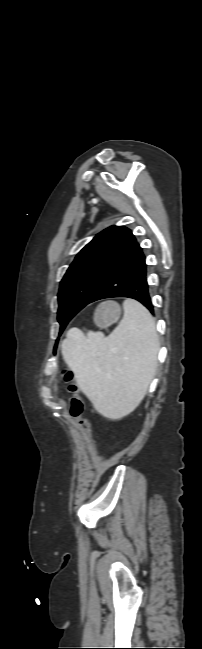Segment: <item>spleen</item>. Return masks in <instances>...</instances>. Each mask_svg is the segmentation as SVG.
<instances>
[{
	"instance_id": "spleen-1",
	"label": "spleen",
	"mask_w": 202,
	"mask_h": 649,
	"mask_svg": "<svg viewBox=\"0 0 202 649\" xmlns=\"http://www.w3.org/2000/svg\"><path fill=\"white\" fill-rule=\"evenodd\" d=\"M123 309V319L108 337L71 329L61 344L79 388L110 419L135 410L157 366L159 339L153 317L133 299L125 300Z\"/></svg>"
}]
</instances>
